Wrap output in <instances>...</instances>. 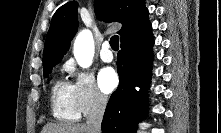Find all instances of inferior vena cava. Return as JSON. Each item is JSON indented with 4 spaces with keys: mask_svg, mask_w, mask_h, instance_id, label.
Masks as SVG:
<instances>
[{
    "mask_svg": "<svg viewBox=\"0 0 221 133\" xmlns=\"http://www.w3.org/2000/svg\"><path fill=\"white\" fill-rule=\"evenodd\" d=\"M106 105L107 99L100 94H96L86 120L89 133H101V122Z\"/></svg>",
    "mask_w": 221,
    "mask_h": 133,
    "instance_id": "inferior-vena-cava-1",
    "label": "inferior vena cava"
}]
</instances>
